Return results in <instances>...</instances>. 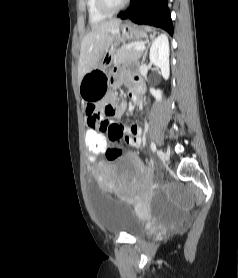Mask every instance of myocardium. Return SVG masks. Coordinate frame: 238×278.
<instances>
[{
    "label": "myocardium",
    "instance_id": "1",
    "mask_svg": "<svg viewBox=\"0 0 238 278\" xmlns=\"http://www.w3.org/2000/svg\"><path fill=\"white\" fill-rule=\"evenodd\" d=\"M129 0H123L117 5H113L109 0H96L98 10L105 15H112L122 10Z\"/></svg>",
    "mask_w": 238,
    "mask_h": 278
}]
</instances>
